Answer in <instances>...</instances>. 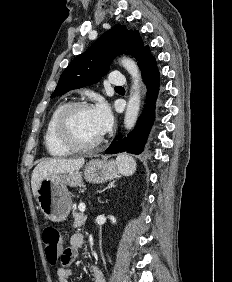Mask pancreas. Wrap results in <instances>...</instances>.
I'll list each match as a JSON object with an SVG mask.
<instances>
[{"instance_id": "1", "label": "pancreas", "mask_w": 232, "mask_h": 282, "mask_svg": "<svg viewBox=\"0 0 232 282\" xmlns=\"http://www.w3.org/2000/svg\"><path fill=\"white\" fill-rule=\"evenodd\" d=\"M73 217H74V223L73 226L74 227H81L82 225H84L85 221H86V216L83 213H77V212H73Z\"/></svg>"}]
</instances>
